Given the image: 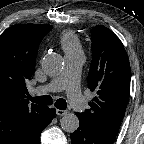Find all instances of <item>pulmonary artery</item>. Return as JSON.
Instances as JSON below:
<instances>
[{"label": "pulmonary artery", "mask_w": 144, "mask_h": 144, "mask_svg": "<svg viewBox=\"0 0 144 144\" xmlns=\"http://www.w3.org/2000/svg\"><path fill=\"white\" fill-rule=\"evenodd\" d=\"M83 62L82 52L66 54L65 66L62 72L50 83L32 89V94L43 95L65 90L71 106L79 112L82 111L85 108V100L80 91L79 80Z\"/></svg>", "instance_id": "e3ab8cb5"}]
</instances>
